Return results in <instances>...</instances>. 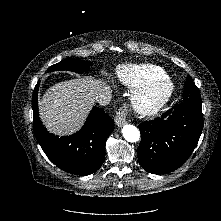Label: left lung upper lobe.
I'll list each match as a JSON object with an SVG mask.
<instances>
[{
  "label": "left lung upper lobe",
  "instance_id": "1",
  "mask_svg": "<svg viewBox=\"0 0 221 221\" xmlns=\"http://www.w3.org/2000/svg\"><path fill=\"white\" fill-rule=\"evenodd\" d=\"M184 102L201 104V95L190 75L187 77L184 90Z\"/></svg>",
  "mask_w": 221,
  "mask_h": 221
}]
</instances>
